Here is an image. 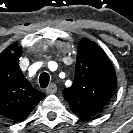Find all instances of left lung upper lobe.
<instances>
[{
	"label": "left lung upper lobe",
	"mask_w": 133,
	"mask_h": 133,
	"mask_svg": "<svg viewBox=\"0 0 133 133\" xmlns=\"http://www.w3.org/2000/svg\"><path fill=\"white\" fill-rule=\"evenodd\" d=\"M75 78L63 96L78 117L86 119L100 112L116 89V75L105 52L89 39L78 43Z\"/></svg>",
	"instance_id": "obj_1"
}]
</instances>
